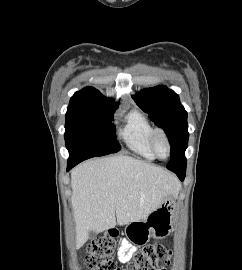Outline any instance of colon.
<instances>
[{"mask_svg":"<svg viewBox=\"0 0 242 270\" xmlns=\"http://www.w3.org/2000/svg\"><path fill=\"white\" fill-rule=\"evenodd\" d=\"M118 236L116 229H110L88 247L85 263L90 270H162L169 263L170 250L164 245L150 244L136 253L124 269L118 267L113 261Z\"/></svg>","mask_w":242,"mask_h":270,"instance_id":"obj_1","label":"colon"}]
</instances>
